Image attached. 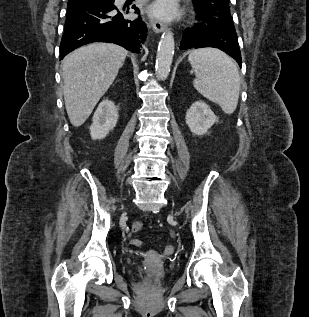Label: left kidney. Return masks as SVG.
Instances as JSON below:
<instances>
[{
	"mask_svg": "<svg viewBox=\"0 0 309 317\" xmlns=\"http://www.w3.org/2000/svg\"><path fill=\"white\" fill-rule=\"evenodd\" d=\"M185 120L190 131L201 136L207 133L218 118L205 102L197 101L187 110Z\"/></svg>",
	"mask_w": 309,
	"mask_h": 317,
	"instance_id": "1",
	"label": "left kidney"
}]
</instances>
